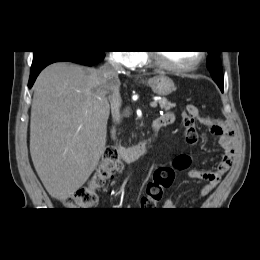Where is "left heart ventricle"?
I'll return each instance as SVG.
<instances>
[{
    "label": "left heart ventricle",
    "mask_w": 260,
    "mask_h": 260,
    "mask_svg": "<svg viewBox=\"0 0 260 260\" xmlns=\"http://www.w3.org/2000/svg\"><path fill=\"white\" fill-rule=\"evenodd\" d=\"M161 57L173 65H187L194 62L198 57L197 51H167L160 52Z\"/></svg>",
    "instance_id": "1"
}]
</instances>
